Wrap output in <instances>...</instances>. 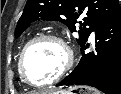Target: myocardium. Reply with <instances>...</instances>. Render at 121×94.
<instances>
[{
	"mask_svg": "<svg viewBox=\"0 0 121 94\" xmlns=\"http://www.w3.org/2000/svg\"><path fill=\"white\" fill-rule=\"evenodd\" d=\"M41 41H53V42L57 43L63 51L64 62H63L61 69L59 70V72L51 80L38 84V83L32 82L29 79V77L25 71V59H26V56H27L29 50L34 45H36L37 43H39ZM73 59L74 58H73L72 49L69 47V45L65 42V40L63 38H61L60 36H57V35H53V34H41V35L36 36L35 38L31 39L24 45V47L20 53L19 59H18V71H19V74L22 77L23 81L25 83H27L28 85L33 86V87H39V88L47 87L54 83L59 82L62 78L65 77V75L70 71V69L73 66Z\"/></svg>",
	"mask_w": 121,
	"mask_h": 94,
	"instance_id": "f54148a6",
	"label": "myocardium"
}]
</instances>
